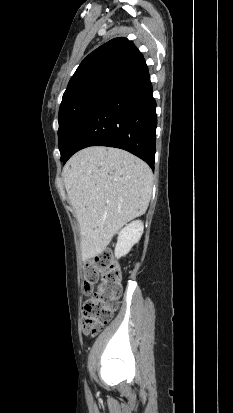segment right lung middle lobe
<instances>
[{
	"instance_id": "dd1d6c3e",
	"label": "right lung middle lobe",
	"mask_w": 233,
	"mask_h": 413,
	"mask_svg": "<svg viewBox=\"0 0 233 413\" xmlns=\"http://www.w3.org/2000/svg\"><path fill=\"white\" fill-rule=\"evenodd\" d=\"M115 80L112 77L94 79L63 96L58 118L61 159L67 155L81 127Z\"/></svg>"
}]
</instances>
